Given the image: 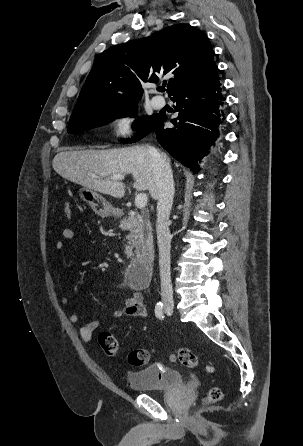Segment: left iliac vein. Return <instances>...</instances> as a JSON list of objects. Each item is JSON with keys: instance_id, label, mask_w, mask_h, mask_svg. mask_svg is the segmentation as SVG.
Returning a JSON list of instances; mask_svg holds the SVG:
<instances>
[{"instance_id": "left-iliac-vein-1", "label": "left iliac vein", "mask_w": 303, "mask_h": 446, "mask_svg": "<svg viewBox=\"0 0 303 446\" xmlns=\"http://www.w3.org/2000/svg\"><path fill=\"white\" fill-rule=\"evenodd\" d=\"M165 313L170 316L173 313V308L172 307H167L165 310Z\"/></svg>"}]
</instances>
